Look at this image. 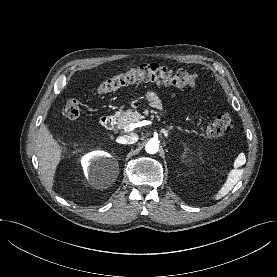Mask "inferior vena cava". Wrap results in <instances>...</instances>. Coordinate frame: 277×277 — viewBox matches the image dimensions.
I'll list each match as a JSON object with an SVG mask.
<instances>
[{
    "label": "inferior vena cava",
    "mask_w": 277,
    "mask_h": 277,
    "mask_svg": "<svg viewBox=\"0 0 277 277\" xmlns=\"http://www.w3.org/2000/svg\"><path fill=\"white\" fill-rule=\"evenodd\" d=\"M138 136L134 133L119 137L118 142L121 144H133L138 141Z\"/></svg>",
    "instance_id": "inferior-vena-cava-1"
}]
</instances>
